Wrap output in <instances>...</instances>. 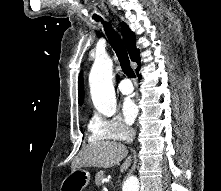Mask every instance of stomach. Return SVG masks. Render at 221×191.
Wrapping results in <instances>:
<instances>
[{
    "label": "stomach",
    "mask_w": 221,
    "mask_h": 191,
    "mask_svg": "<svg viewBox=\"0 0 221 191\" xmlns=\"http://www.w3.org/2000/svg\"><path fill=\"white\" fill-rule=\"evenodd\" d=\"M90 182V173L84 169L73 170L61 183L60 191H82Z\"/></svg>",
    "instance_id": "obj_1"
}]
</instances>
